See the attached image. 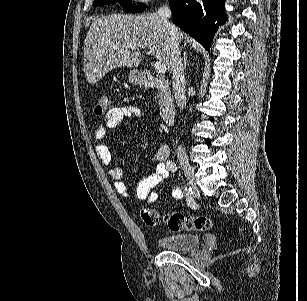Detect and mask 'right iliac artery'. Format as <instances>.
Wrapping results in <instances>:
<instances>
[{
  "label": "right iliac artery",
  "mask_w": 307,
  "mask_h": 301,
  "mask_svg": "<svg viewBox=\"0 0 307 301\" xmlns=\"http://www.w3.org/2000/svg\"><path fill=\"white\" fill-rule=\"evenodd\" d=\"M167 168L172 172L177 170V166L172 160L167 161Z\"/></svg>",
  "instance_id": "1"
}]
</instances>
